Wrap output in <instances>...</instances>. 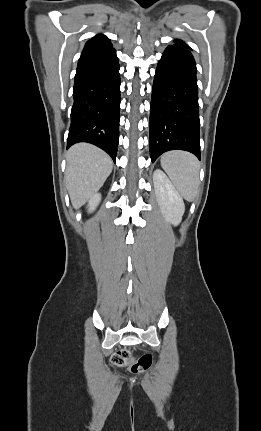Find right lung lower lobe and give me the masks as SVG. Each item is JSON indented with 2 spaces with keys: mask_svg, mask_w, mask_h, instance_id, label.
Segmentation results:
<instances>
[{
  "mask_svg": "<svg viewBox=\"0 0 261 431\" xmlns=\"http://www.w3.org/2000/svg\"><path fill=\"white\" fill-rule=\"evenodd\" d=\"M114 48L83 50L74 78L67 148L88 142L116 160L119 141L120 74Z\"/></svg>",
  "mask_w": 261,
  "mask_h": 431,
  "instance_id": "right-lung-lower-lobe-1",
  "label": "right lung lower lobe"
}]
</instances>
